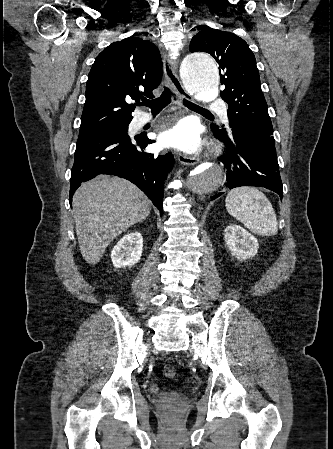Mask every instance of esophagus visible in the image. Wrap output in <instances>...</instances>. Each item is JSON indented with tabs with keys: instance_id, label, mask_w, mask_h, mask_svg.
Returning <instances> with one entry per match:
<instances>
[{
	"instance_id": "esophagus-1",
	"label": "esophagus",
	"mask_w": 333,
	"mask_h": 449,
	"mask_svg": "<svg viewBox=\"0 0 333 449\" xmlns=\"http://www.w3.org/2000/svg\"><path fill=\"white\" fill-rule=\"evenodd\" d=\"M177 62L168 56L164 57V72L168 83L172 86L175 93L179 98L181 104L184 99L191 100L190 94L184 89L178 75H177ZM178 161L184 165H194L199 161L198 157H191L185 154L178 155Z\"/></svg>"
}]
</instances>
